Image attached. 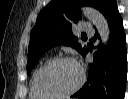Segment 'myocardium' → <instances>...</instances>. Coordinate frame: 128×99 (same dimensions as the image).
<instances>
[{
    "instance_id": "myocardium-1",
    "label": "myocardium",
    "mask_w": 128,
    "mask_h": 99,
    "mask_svg": "<svg viewBox=\"0 0 128 99\" xmlns=\"http://www.w3.org/2000/svg\"><path fill=\"white\" fill-rule=\"evenodd\" d=\"M63 62H72V63H75L79 67L80 80H79L78 84L66 92L51 93V92L45 91L40 85V77H41L42 73L49 67L57 65L59 63H63ZM85 79H86L85 71H84L83 67L81 66V64L76 59H74L73 57H68V56L57 57L52 60H49L48 62L43 64L38 69V71L35 75V88H36L37 92L40 93L41 95L51 97V98H65V97H69V96L75 94L76 92H78L84 85Z\"/></svg>"
}]
</instances>
